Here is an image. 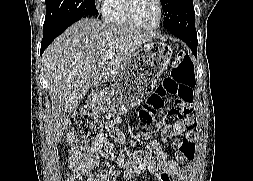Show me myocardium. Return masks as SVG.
Wrapping results in <instances>:
<instances>
[{
  "mask_svg": "<svg viewBox=\"0 0 253 181\" xmlns=\"http://www.w3.org/2000/svg\"><path fill=\"white\" fill-rule=\"evenodd\" d=\"M134 2L135 0H124V10H125V14L129 23L136 28L147 30V31L158 29L162 24L163 16H164L163 1L157 0L158 18H157L156 23L153 25H144L138 21L134 13Z\"/></svg>",
  "mask_w": 253,
  "mask_h": 181,
  "instance_id": "f54148a6",
  "label": "myocardium"
}]
</instances>
